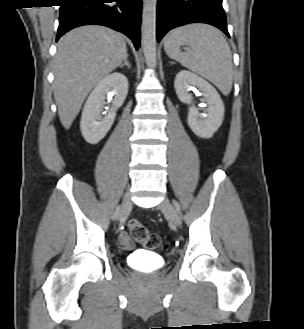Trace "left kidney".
<instances>
[{"label":"left kidney","mask_w":304,"mask_h":329,"mask_svg":"<svg viewBox=\"0 0 304 329\" xmlns=\"http://www.w3.org/2000/svg\"><path fill=\"white\" fill-rule=\"evenodd\" d=\"M174 87L181 102L191 104L193 97L190 90L202 92V101L206 103V115L199 113L194 106L189 108L187 122L191 130L201 138H211L219 129L224 118V104L217 90L198 75L181 70L175 78Z\"/></svg>","instance_id":"1"}]
</instances>
